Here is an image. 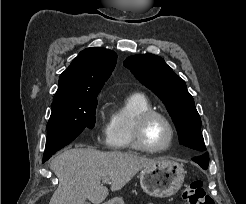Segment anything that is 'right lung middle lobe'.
<instances>
[{
  "label": "right lung middle lobe",
  "instance_id": "1",
  "mask_svg": "<svg viewBox=\"0 0 246 204\" xmlns=\"http://www.w3.org/2000/svg\"><path fill=\"white\" fill-rule=\"evenodd\" d=\"M97 95L52 103L43 158H50L72 142L86 127H94Z\"/></svg>",
  "mask_w": 246,
  "mask_h": 204
}]
</instances>
